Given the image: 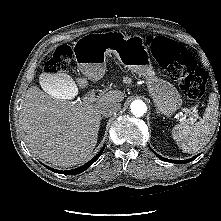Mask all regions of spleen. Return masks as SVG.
Here are the masks:
<instances>
[{
    "instance_id": "obj_1",
    "label": "spleen",
    "mask_w": 221,
    "mask_h": 221,
    "mask_svg": "<svg viewBox=\"0 0 221 221\" xmlns=\"http://www.w3.org/2000/svg\"><path fill=\"white\" fill-rule=\"evenodd\" d=\"M218 115L217 102L211 97L205 114L199 122L175 125L172 136L179 148L186 153H196L206 146L217 127Z\"/></svg>"
}]
</instances>
